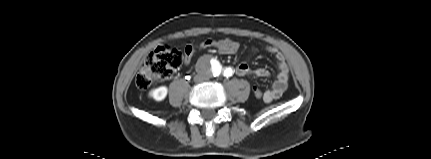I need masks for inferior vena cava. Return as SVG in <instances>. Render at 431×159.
Here are the masks:
<instances>
[{
    "instance_id": "obj_1",
    "label": "inferior vena cava",
    "mask_w": 431,
    "mask_h": 159,
    "mask_svg": "<svg viewBox=\"0 0 431 159\" xmlns=\"http://www.w3.org/2000/svg\"><path fill=\"white\" fill-rule=\"evenodd\" d=\"M205 80V77L203 76V75H196L195 77H194V81L195 82H202V81H204Z\"/></svg>"
}]
</instances>
